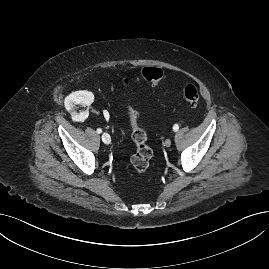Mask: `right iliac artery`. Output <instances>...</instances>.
I'll return each instance as SVG.
<instances>
[{
	"label": "right iliac artery",
	"mask_w": 269,
	"mask_h": 269,
	"mask_svg": "<svg viewBox=\"0 0 269 269\" xmlns=\"http://www.w3.org/2000/svg\"><path fill=\"white\" fill-rule=\"evenodd\" d=\"M101 132H102V129L98 128V129H97V133L100 134Z\"/></svg>",
	"instance_id": "right-iliac-artery-1"
}]
</instances>
